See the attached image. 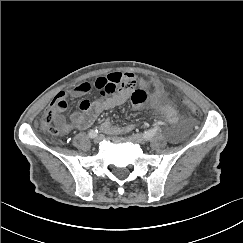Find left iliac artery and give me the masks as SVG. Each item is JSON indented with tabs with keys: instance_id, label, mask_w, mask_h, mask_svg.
Here are the masks:
<instances>
[{
	"instance_id": "1",
	"label": "left iliac artery",
	"mask_w": 243,
	"mask_h": 243,
	"mask_svg": "<svg viewBox=\"0 0 243 243\" xmlns=\"http://www.w3.org/2000/svg\"><path fill=\"white\" fill-rule=\"evenodd\" d=\"M160 130V127L159 126H156L150 130H147L143 133V137L146 139V140H150L158 131Z\"/></svg>"
}]
</instances>
